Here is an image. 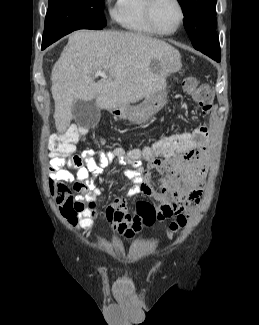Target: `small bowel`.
I'll use <instances>...</instances> for the list:
<instances>
[{
	"label": "small bowel",
	"mask_w": 259,
	"mask_h": 325,
	"mask_svg": "<svg viewBox=\"0 0 259 325\" xmlns=\"http://www.w3.org/2000/svg\"><path fill=\"white\" fill-rule=\"evenodd\" d=\"M173 135L182 133L170 136ZM194 135H197L195 130ZM206 147L207 141L203 139L199 149L164 150L150 158H140L134 150L126 153L122 149L108 152L86 149L68 160L51 153L50 184L61 214L72 224L93 230L96 228L94 208L103 192L97 179L113 164L126 166L123 173L132 184L124 195L107 206L105 214L112 231L132 238L140 229V220L135 212L128 210V198L145 195L155 199L159 220L180 213L201 195L207 174ZM154 172L160 174L158 186L152 184ZM68 183H73L71 189Z\"/></svg>",
	"instance_id": "1"
}]
</instances>
